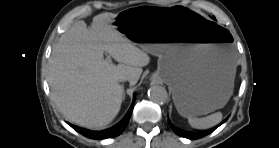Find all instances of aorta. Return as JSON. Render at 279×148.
<instances>
[{
    "mask_svg": "<svg viewBox=\"0 0 279 148\" xmlns=\"http://www.w3.org/2000/svg\"><path fill=\"white\" fill-rule=\"evenodd\" d=\"M148 97L152 102L162 105L167 102L168 93L164 87L154 85L150 87Z\"/></svg>",
    "mask_w": 279,
    "mask_h": 148,
    "instance_id": "aorta-1",
    "label": "aorta"
}]
</instances>
